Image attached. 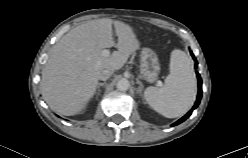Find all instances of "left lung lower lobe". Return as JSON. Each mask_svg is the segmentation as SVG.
<instances>
[{"instance_id": "left-lung-lower-lobe-1", "label": "left lung lower lobe", "mask_w": 248, "mask_h": 158, "mask_svg": "<svg viewBox=\"0 0 248 158\" xmlns=\"http://www.w3.org/2000/svg\"><path fill=\"white\" fill-rule=\"evenodd\" d=\"M191 55H192L194 61H196V58L194 57L192 52H191ZM196 74H197V78H198V96H197V100H196L192 110H194L199 105L200 99H201V96H202V81H201V77H200L198 72H196ZM191 111H189L185 116H183L181 119H179L177 122H175L172 126L178 125V124L182 123L183 121H185L191 115Z\"/></svg>"}]
</instances>
